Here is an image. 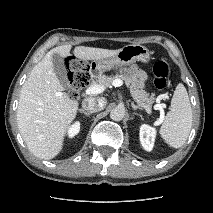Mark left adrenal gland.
<instances>
[{
	"label": "left adrenal gland",
	"instance_id": "obj_1",
	"mask_svg": "<svg viewBox=\"0 0 213 213\" xmlns=\"http://www.w3.org/2000/svg\"><path fill=\"white\" fill-rule=\"evenodd\" d=\"M131 106L133 110H137V109L142 110V108L140 106L135 105L134 102H131Z\"/></svg>",
	"mask_w": 213,
	"mask_h": 213
}]
</instances>
